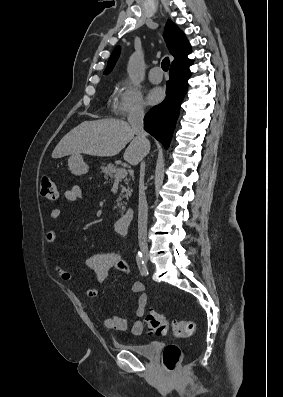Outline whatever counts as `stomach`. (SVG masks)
<instances>
[{
	"mask_svg": "<svg viewBox=\"0 0 283 397\" xmlns=\"http://www.w3.org/2000/svg\"><path fill=\"white\" fill-rule=\"evenodd\" d=\"M68 168L76 176L87 173L89 169L81 155H71L68 159Z\"/></svg>",
	"mask_w": 283,
	"mask_h": 397,
	"instance_id": "obj_1",
	"label": "stomach"
}]
</instances>
